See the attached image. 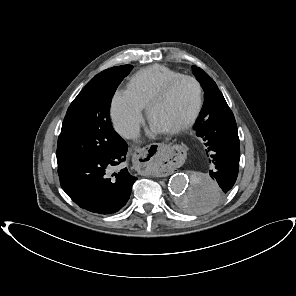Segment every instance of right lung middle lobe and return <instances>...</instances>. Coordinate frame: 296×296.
<instances>
[{
	"mask_svg": "<svg viewBox=\"0 0 296 296\" xmlns=\"http://www.w3.org/2000/svg\"><path fill=\"white\" fill-rule=\"evenodd\" d=\"M131 70V65H121L102 71L74 99L58 137V167L121 150L124 140L111 125L109 108L115 90Z\"/></svg>",
	"mask_w": 296,
	"mask_h": 296,
	"instance_id": "right-lung-middle-lobe-1",
	"label": "right lung middle lobe"
}]
</instances>
